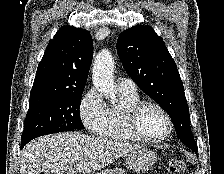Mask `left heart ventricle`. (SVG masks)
<instances>
[{"instance_id":"obj_1","label":"left heart ventricle","mask_w":224,"mask_h":174,"mask_svg":"<svg viewBox=\"0 0 224 174\" xmlns=\"http://www.w3.org/2000/svg\"><path fill=\"white\" fill-rule=\"evenodd\" d=\"M140 131L147 137L159 138L167 131L164 116L154 107H145L139 116Z\"/></svg>"}]
</instances>
